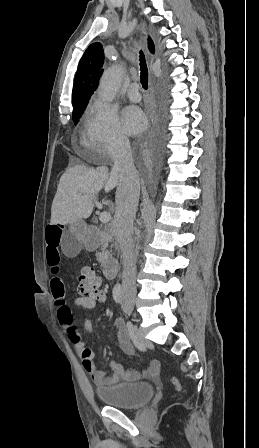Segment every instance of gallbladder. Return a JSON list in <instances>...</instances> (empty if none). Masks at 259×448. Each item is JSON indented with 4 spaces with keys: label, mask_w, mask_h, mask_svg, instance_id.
Listing matches in <instances>:
<instances>
[{
    "label": "gallbladder",
    "mask_w": 259,
    "mask_h": 448,
    "mask_svg": "<svg viewBox=\"0 0 259 448\" xmlns=\"http://www.w3.org/2000/svg\"><path fill=\"white\" fill-rule=\"evenodd\" d=\"M60 246L63 254H65L67 258H75V256H78L79 252H81L83 242H79V240L74 238L70 232H63Z\"/></svg>",
    "instance_id": "bac80fb5"
}]
</instances>
